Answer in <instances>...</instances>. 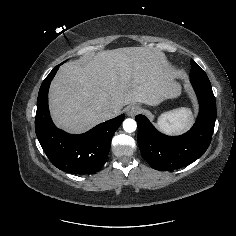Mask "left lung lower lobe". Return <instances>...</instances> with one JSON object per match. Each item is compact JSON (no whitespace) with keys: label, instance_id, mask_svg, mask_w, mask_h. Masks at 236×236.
<instances>
[{"label":"left lung lower lobe","instance_id":"obj_1","mask_svg":"<svg viewBox=\"0 0 236 236\" xmlns=\"http://www.w3.org/2000/svg\"><path fill=\"white\" fill-rule=\"evenodd\" d=\"M199 101V115L183 135L167 136L157 131L143 115H137L138 145L142 157L159 171L187 166L201 157L210 145L216 120V101L207 76H191Z\"/></svg>","mask_w":236,"mask_h":236}]
</instances>
